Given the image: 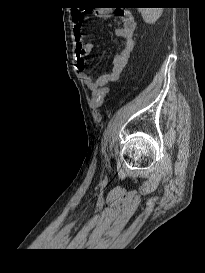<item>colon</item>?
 <instances>
[{
	"label": "colon",
	"mask_w": 205,
	"mask_h": 273,
	"mask_svg": "<svg viewBox=\"0 0 205 273\" xmlns=\"http://www.w3.org/2000/svg\"><path fill=\"white\" fill-rule=\"evenodd\" d=\"M107 92H108V89L103 88L94 93L93 103L96 107H99L103 103Z\"/></svg>",
	"instance_id": "5ec220e1"
}]
</instances>
